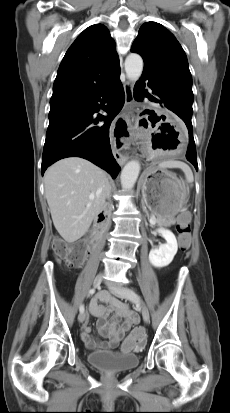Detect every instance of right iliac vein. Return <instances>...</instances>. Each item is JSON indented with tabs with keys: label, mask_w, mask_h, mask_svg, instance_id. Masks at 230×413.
<instances>
[{
	"label": "right iliac vein",
	"mask_w": 230,
	"mask_h": 413,
	"mask_svg": "<svg viewBox=\"0 0 230 413\" xmlns=\"http://www.w3.org/2000/svg\"><path fill=\"white\" fill-rule=\"evenodd\" d=\"M102 280H103V275H102V274H98V275L95 277L94 282H93L94 287H95V288L99 287L100 284H101V282H102ZM85 318H86L85 312H81V313L78 315V321H79L80 323H82V322L85 320Z\"/></svg>",
	"instance_id": "1"
}]
</instances>
